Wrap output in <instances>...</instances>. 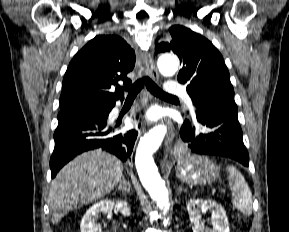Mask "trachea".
Listing matches in <instances>:
<instances>
[{
    "mask_svg": "<svg viewBox=\"0 0 289 232\" xmlns=\"http://www.w3.org/2000/svg\"><path fill=\"white\" fill-rule=\"evenodd\" d=\"M146 86V88L155 96L160 98H176V96L165 93L161 88L157 86L148 76H144L138 79L133 85L128 86L125 90L128 92L127 98L133 99L137 96L140 90Z\"/></svg>",
    "mask_w": 289,
    "mask_h": 232,
    "instance_id": "3493384b",
    "label": "trachea"
}]
</instances>
